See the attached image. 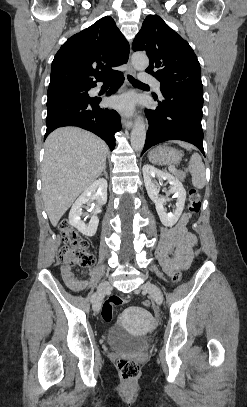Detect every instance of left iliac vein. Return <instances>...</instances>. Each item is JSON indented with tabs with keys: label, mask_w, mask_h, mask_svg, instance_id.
Wrapping results in <instances>:
<instances>
[{
	"label": "left iliac vein",
	"mask_w": 247,
	"mask_h": 407,
	"mask_svg": "<svg viewBox=\"0 0 247 407\" xmlns=\"http://www.w3.org/2000/svg\"><path fill=\"white\" fill-rule=\"evenodd\" d=\"M141 289L143 292L149 293L157 304H161L163 302L162 292L155 284L146 282L141 286Z\"/></svg>",
	"instance_id": "4c4485c4"
}]
</instances>
